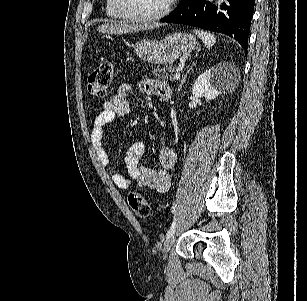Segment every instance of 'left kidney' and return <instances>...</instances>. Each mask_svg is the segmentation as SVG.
<instances>
[{
    "label": "left kidney",
    "mask_w": 307,
    "mask_h": 301,
    "mask_svg": "<svg viewBox=\"0 0 307 301\" xmlns=\"http://www.w3.org/2000/svg\"><path fill=\"white\" fill-rule=\"evenodd\" d=\"M238 70L232 62H218L197 76L193 86V96H205L213 100L219 94L231 90L237 80Z\"/></svg>",
    "instance_id": "left-kidney-1"
}]
</instances>
